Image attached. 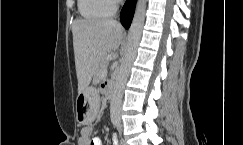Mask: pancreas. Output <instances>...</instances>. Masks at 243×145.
Segmentation results:
<instances>
[{
  "label": "pancreas",
  "instance_id": "obj_1",
  "mask_svg": "<svg viewBox=\"0 0 243 145\" xmlns=\"http://www.w3.org/2000/svg\"><path fill=\"white\" fill-rule=\"evenodd\" d=\"M108 62L106 60H102L99 64L98 71L95 75L96 81H100L104 75L106 74V69H107Z\"/></svg>",
  "mask_w": 243,
  "mask_h": 145
}]
</instances>
